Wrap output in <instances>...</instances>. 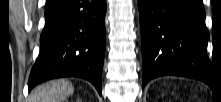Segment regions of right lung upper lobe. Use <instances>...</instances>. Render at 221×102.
<instances>
[{"label":"right lung upper lobe","mask_w":221,"mask_h":102,"mask_svg":"<svg viewBox=\"0 0 221 102\" xmlns=\"http://www.w3.org/2000/svg\"><path fill=\"white\" fill-rule=\"evenodd\" d=\"M56 0H47L46 7L55 2Z\"/></svg>","instance_id":"obj_1"}]
</instances>
